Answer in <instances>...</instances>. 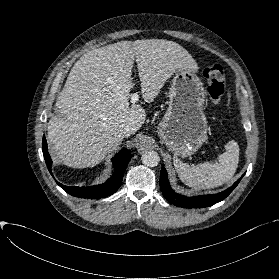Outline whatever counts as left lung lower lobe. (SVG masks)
Segmentation results:
<instances>
[{
    "mask_svg": "<svg viewBox=\"0 0 279 279\" xmlns=\"http://www.w3.org/2000/svg\"><path fill=\"white\" fill-rule=\"evenodd\" d=\"M239 182L240 179H238L231 187L218 194L186 197L177 194L172 190L164 167H162L160 173V188L162 190L163 196L171 204L182 208H203L212 206L224 200L233 191V189L238 185Z\"/></svg>",
    "mask_w": 279,
    "mask_h": 279,
    "instance_id": "1",
    "label": "left lung lower lobe"
}]
</instances>
